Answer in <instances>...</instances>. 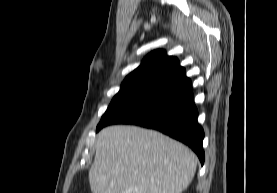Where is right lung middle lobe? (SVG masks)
Listing matches in <instances>:
<instances>
[{
	"label": "right lung middle lobe",
	"mask_w": 277,
	"mask_h": 193,
	"mask_svg": "<svg viewBox=\"0 0 277 193\" xmlns=\"http://www.w3.org/2000/svg\"><path fill=\"white\" fill-rule=\"evenodd\" d=\"M146 95H147V93H145V92L120 90L113 98L108 109L102 116L101 121L99 122L98 126L106 123L115 114H117L118 112L122 111L123 109L133 105L134 103H136L137 101H139Z\"/></svg>",
	"instance_id": "dd1d6c3e"
}]
</instances>
